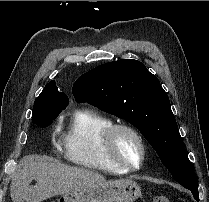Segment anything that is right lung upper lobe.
I'll return each instance as SVG.
<instances>
[{"mask_svg":"<svg viewBox=\"0 0 209 202\" xmlns=\"http://www.w3.org/2000/svg\"><path fill=\"white\" fill-rule=\"evenodd\" d=\"M44 94L51 95V98L48 101L49 104L56 106V107H60V108L67 107L69 99L65 93L58 91L55 81H50L49 83H47L41 95H44Z\"/></svg>","mask_w":209,"mask_h":202,"instance_id":"cb5924a9","label":"right lung upper lobe"}]
</instances>
